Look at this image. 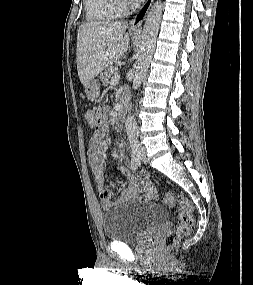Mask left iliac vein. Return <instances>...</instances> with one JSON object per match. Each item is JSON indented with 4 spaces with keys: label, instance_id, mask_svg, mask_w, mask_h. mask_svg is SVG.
Here are the masks:
<instances>
[{
    "label": "left iliac vein",
    "instance_id": "4c4485c4",
    "mask_svg": "<svg viewBox=\"0 0 253 285\" xmlns=\"http://www.w3.org/2000/svg\"><path fill=\"white\" fill-rule=\"evenodd\" d=\"M137 155H138V158L141 162H143L145 164L148 162L147 155H146V149H145L144 145H142V144L137 145Z\"/></svg>",
    "mask_w": 253,
    "mask_h": 285
}]
</instances>
